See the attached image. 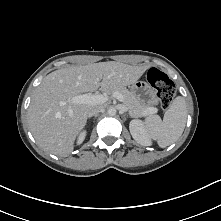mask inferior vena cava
I'll list each match as a JSON object with an SVG mask.
<instances>
[{
  "instance_id": "602c4592",
  "label": "inferior vena cava",
  "mask_w": 221,
  "mask_h": 221,
  "mask_svg": "<svg viewBox=\"0 0 221 221\" xmlns=\"http://www.w3.org/2000/svg\"><path fill=\"white\" fill-rule=\"evenodd\" d=\"M102 111H103V107L101 106L95 107L88 113V117L95 116Z\"/></svg>"
}]
</instances>
